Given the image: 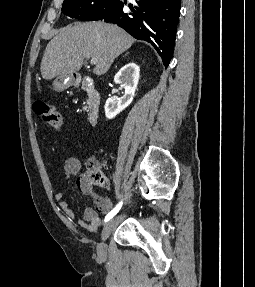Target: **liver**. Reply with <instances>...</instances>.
I'll list each match as a JSON object with an SVG mask.
<instances>
[{"label": "liver", "mask_w": 255, "mask_h": 287, "mask_svg": "<svg viewBox=\"0 0 255 287\" xmlns=\"http://www.w3.org/2000/svg\"><path fill=\"white\" fill-rule=\"evenodd\" d=\"M134 44L122 28L105 22H75L62 28L49 42L41 62L44 80L75 74L82 68L84 58H97L94 74L103 76L112 62Z\"/></svg>", "instance_id": "obj_1"}]
</instances>
